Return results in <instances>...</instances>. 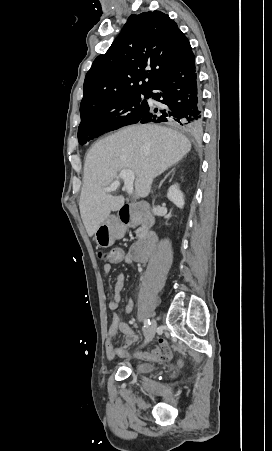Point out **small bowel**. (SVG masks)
I'll use <instances>...</instances> for the list:
<instances>
[{"label":"small bowel","instance_id":"c3829d8e","mask_svg":"<svg viewBox=\"0 0 272 451\" xmlns=\"http://www.w3.org/2000/svg\"><path fill=\"white\" fill-rule=\"evenodd\" d=\"M111 270L112 264L110 262H106L103 265V275L109 276ZM124 282L125 275L123 272H120L116 277L114 291L109 301V308L114 312L118 309L120 305L121 291L124 288ZM133 307H134L133 301L129 300L124 306V311L126 313H131L133 311ZM108 333L110 337H115L117 334H122L124 337L123 345L121 346L114 347L111 344L107 345L106 353L108 360L112 361L116 357L129 358L130 354L127 352L126 348L137 341L138 336L135 333V331L127 323L121 321L118 315L114 313L112 317V324L109 328ZM161 352H171L173 356V351L169 341L162 337L158 339L157 347L153 348L150 351L138 352L135 354V356L144 360L161 361L160 359Z\"/></svg>","mask_w":272,"mask_h":451}]
</instances>
